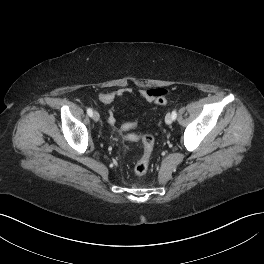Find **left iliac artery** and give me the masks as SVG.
<instances>
[{
    "instance_id": "44dca946",
    "label": "left iliac artery",
    "mask_w": 264,
    "mask_h": 264,
    "mask_svg": "<svg viewBox=\"0 0 264 264\" xmlns=\"http://www.w3.org/2000/svg\"><path fill=\"white\" fill-rule=\"evenodd\" d=\"M172 118H173V120H175L177 118V113L175 110L172 112Z\"/></svg>"
}]
</instances>
